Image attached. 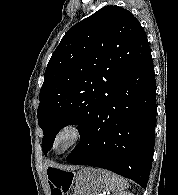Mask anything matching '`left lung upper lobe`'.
I'll return each mask as SVG.
<instances>
[{
    "label": "left lung upper lobe",
    "instance_id": "obj_1",
    "mask_svg": "<svg viewBox=\"0 0 178 195\" xmlns=\"http://www.w3.org/2000/svg\"><path fill=\"white\" fill-rule=\"evenodd\" d=\"M150 53L141 24L119 6H105L71 27L48 62L39 94L43 153L67 125H78L82 138L101 103Z\"/></svg>",
    "mask_w": 178,
    "mask_h": 195
}]
</instances>
